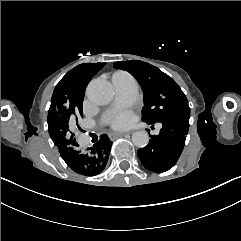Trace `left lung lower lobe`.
I'll list each match as a JSON object with an SVG mask.
<instances>
[{
	"instance_id": "obj_1",
	"label": "left lung lower lobe",
	"mask_w": 241,
	"mask_h": 241,
	"mask_svg": "<svg viewBox=\"0 0 241 241\" xmlns=\"http://www.w3.org/2000/svg\"><path fill=\"white\" fill-rule=\"evenodd\" d=\"M189 118L190 114L161 122L160 133L150 135L148 145L137 152L145 168L153 172H165L175 165L185 145Z\"/></svg>"
}]
</instances>
